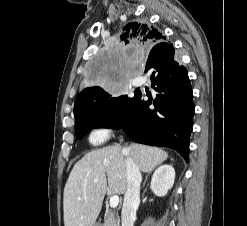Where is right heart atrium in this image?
<instances>
[{"mask_svg": "<svg viewBox=\"0 0 247 226\" xmlns=\"http://www.w3.org/2000/svg\"><path fill=\"white\" fill-rule=\"evenodd\" d=\"M115 131L112 124L107 123L94 128L89 135V142L93 145H101L107 142Z\"/></svg>", "mask_w": 247, "mask_h": 226, "instance_id": "right-heart-atrium-1", "label": "right heart atrium"}]
</instances>
